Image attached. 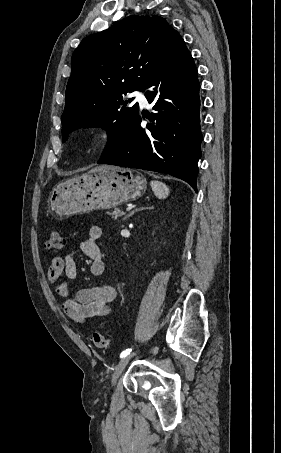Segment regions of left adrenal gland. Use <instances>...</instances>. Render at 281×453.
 <instances>
[{
	"label": "left adrenal gland",
	"instance_id": "left-adrenal-gland-1",
	"mask_svg": "<svg viewBox=\"0 0 281 453\" xmlns=\"http://www.w3.org/2000/svg\"><path fill=\"white\" fill-rule=\"evenodd\" d=\"M148 208V206H147ZM135 210H143V208H135ZM135 210H132V212H130V214H126V216H124L123 220H125V218H128V216H132V214H134Z\"/></svg>",
	"mask_w": 281,
	"mask_h": 453
}]
</instances>
